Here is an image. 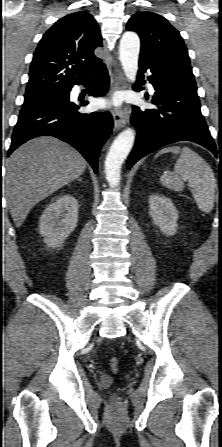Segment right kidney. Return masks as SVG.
<instances>
[{
	"mask_svg": "<svg viewBox=\"0 0 222 447\" xmlns=\"http://www.w3.org/2000/svg\"><path fill=\"white\" fill-rule=\"evenodd\" d=\"M39 221V233L47 246H59L77 226L78 201L71 195L57 198L45 208Z\"/></svg>",
	"mask_w": 222,
	"mask_h": 447,
	"instance_id": "ca27d5eb",
	"label": "right kidney"
}]
</instances>
